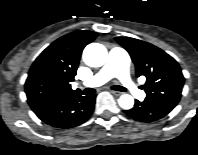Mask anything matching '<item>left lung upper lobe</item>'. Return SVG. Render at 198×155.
I'll return each instance as SVG.
<instances>
[{
	"label": "left lung upper lobe",
	"instance_id": "1",
	"mask_svg": "<svg viewBox=\"0 0 198 155\" xmlns=\"http://www.w3.org/2000/svg\"><path fill=\"white\" fill-rule=\"evenodd\" d=\"M116 41L130 54L136 75L147 78L146 100H163L178 103L184 77L178 63L160 48L129 37H116Z\"/></svg>",
	"mask_w": 198,
	"mask_h": 155
}]
</instances>
